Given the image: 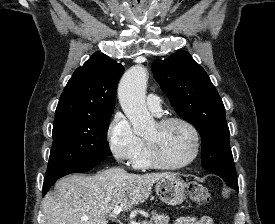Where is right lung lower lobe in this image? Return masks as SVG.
Listing matches in <instances>:
<instances>
[{"label": "right lung lower lobe", "instance_id": "1", "mask_svg": "<svg viewBox=\"0 0 275 224\" xmlns=\"http://www.w3.org/2000/svg\"><path fill=\"white\" fill-rule=\"evenodd\" d=\"M107 157L96 159L90 163L83 164V165H77L74 167L66 168L58 173L46 175L44 178V184H43V195L47 193L49 188L56 182L57 179L71 174V173H83L86 172L93 167H95L97 164L105 160Z\"/></svg>", "mask_w": 275, "mask_h": 224}]
</instances>
